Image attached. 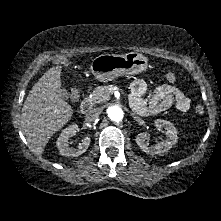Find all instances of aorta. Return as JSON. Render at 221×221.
<instances>
[{
    "mask_svg": "<svg viewBox=\"0 0 221 221\" xmlns=\"http://www.w3.org/2000/svg\"><path fill=\"white\" fill-rule=\"evenodd\" d=\"M108 117L110 120L114 122H119L123 119L124 113L121 107L119 106H112L109 107L107 110Z\"/></svg>",
    "mask_w": 221,
    "mask_h": 221,
    "instance_id": "obj_1",
    "label": "aorta"
}]
</instances>
